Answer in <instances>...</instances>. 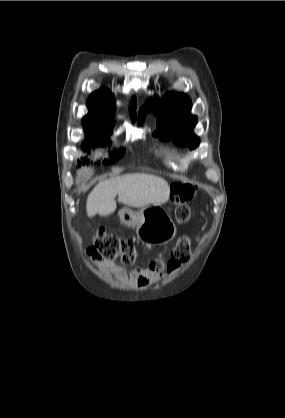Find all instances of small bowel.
I'll use <instances>...</instances> for the list:
<instances>
[{"instance_id":"small-bowel-1","label":"small bowel","mask_w":285,"mask_h":418,"mask_svg":"<svg viewBox=\"0 0 285 418\" xmlns=\"http://www.w3.org/2000/svg\"><path fill=\"white\" fill-rule=\"evenodd\" d=\"M97 269L102 272L112 273L117 279L124 280L128 278L131 282L140 287H145L150 283L158 282L160 277L142 267H136L128 274L125 269L116 263H102L96 265Z\"/></svg>"}]
</instances>
